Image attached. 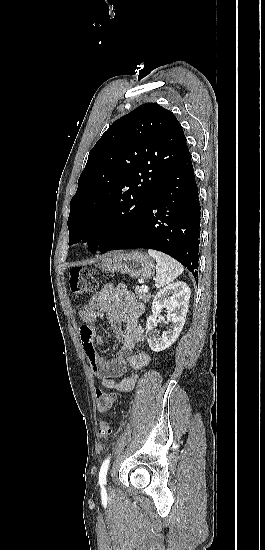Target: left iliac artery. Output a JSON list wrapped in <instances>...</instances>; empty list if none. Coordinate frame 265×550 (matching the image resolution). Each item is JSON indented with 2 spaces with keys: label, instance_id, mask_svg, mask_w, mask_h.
<instances>
[{
  "label": "left iliac artery",
  "instance_id": "1",
  "mask_svg": "<svg viewBox=\"0 0 265 550\" xmlns=\"http://www.w3.org/2000/svg\"><path fill=\"white\" fill-rule=\"evenodd\" d=\"M109 462H110V457L107 458L106 460H104V462H103V464L100 468L99 483L101 485L106 484V475H107V470H108V467H109Z\"/></svg>",
  "mask_w": 265,
  "mask_h": 550
}]
</instances>
